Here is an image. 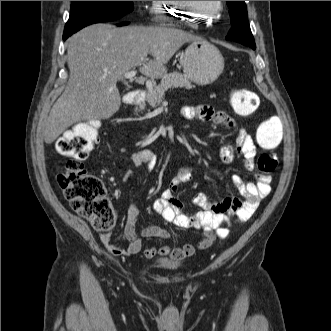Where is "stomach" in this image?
Segmentation results:
<instances>
[{
	"instance_id": "obj_1",
	"label": "stomach",
	"mask_w": 331,
	"mask_h": 331,
	"mask_svg": "<svg viewBox=\"0 0 331 331\" xmlns=\"http://www.w3.org/2000/svg\"><path fill=\"white\" fill-rule=\"evenodd\" d=\"M180 63L184 75L199 85L212 83L224 69V58L218 48L203 39L191 42Z\"/></svg>"
}]
</instances>
